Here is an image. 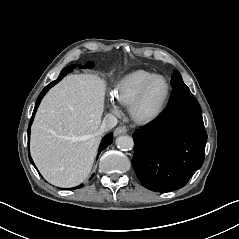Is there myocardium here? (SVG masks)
<instances>
[{
    "instance_id": "f54148a6",
    "label": "myocardium",
    "mask_w": 239,
    "mask_h": 239,
    "mask_svg": "<svg viewBox=\"0 0 239 239\" xmlns=\"http://www.w3.org/2000/svg\"><path fill=\"white\" fill-rule=\"evenodd\" d=\"M158 79H163L166 81V84H167L166 97H165L161 107L159 108V110L156 113H154L151 116H143L139 113V107H140L143 99L145 98L151 85ZM171 94H172V87H171V83L167 77H165L163 75H156V76L152 77L140 89V91L135 96V98L132 100V102L129 106V113H130L132 119L135 122H137L139 124H143V125L152 124V123L158 121L163 116V114L165 113V111L169 105V102L171 99Z\"/></svg>"
}]
</instances>
